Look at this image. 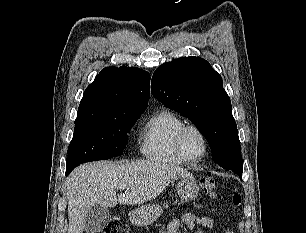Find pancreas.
I'll use <instances>...</instances> for the list:
<instances>
[{
  "mask_svg": "<svg viewBox=\"0 0 306 233\" xmlns=\"http://www.w3.org/2000/svg\"><path fill=\"white\" fill-rule=\"evenodd\" d=\"M163 207H165V208H166V207H167V204H163Z\"/></svg>",
  "mask_w": 306,
  "mask_h": 233,
  "instance_id": "1",
  "label": "pancreas"
}]
</instances>
